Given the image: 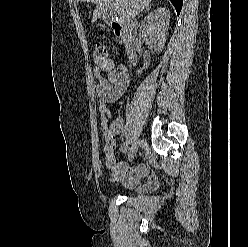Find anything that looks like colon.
<instances>
[{
    "label": "colon",
    "mask_w": 248,
    "mask_h": 247,
    "mask_svg": "<svg viewBox=\"0 0 248 247\" xmlns=\"http://www.w3.org/2000/svg\"><path fill=\"white\" fill-rule=\"evenodd\" d=\"M117 35H119L118 28L111 26ZM95 59L99 62L104 63L107 59V51L106 48L102 44H97L95 48Z\"/></svg>",
    "instance_id": "colon-1"
}]
</instances>
